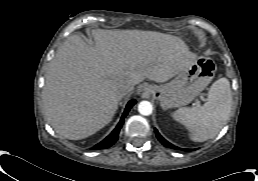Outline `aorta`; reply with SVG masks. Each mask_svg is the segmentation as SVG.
Returning <instances> with one entry per match:
<instances>
[{
  "label": "aorta",
  "mask_w": 258,
  "mask_h": 181,
  "mask_svg": "<svg viewBox=\"0 0 258 181\" xmlns=\"http://www.w3.org/2000/svg\"><path fill=\"white\" fill-rule=\"evenodd\" d=\"M152 111H153V107L149 101H141L138 104V112L141 115L148 116L152 113Z\"/></svg>",
  "instance_id": "1"
}]
</instances>
